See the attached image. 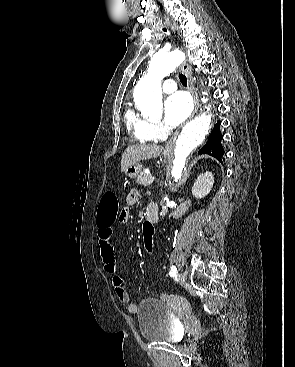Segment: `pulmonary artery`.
<instances>
[{"label":"pulmonary artery","instance_id":"e3ab8cb5","mask_svg":"<svg viewBox=\"0 0 295 367\" xmlns=\"http://www.w3.org/2000/svg\"><path fill=\"white\" fill-rule=\"evenodd\" d=\"M177 89V85L175 83L174 80L172 79H168L166 81H164L163 85H162V90L164 93H172L174 91H176Z\"/></svg>","mask_w":295,"mask_h":367}]
</instances>
